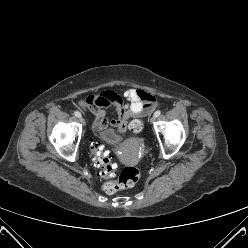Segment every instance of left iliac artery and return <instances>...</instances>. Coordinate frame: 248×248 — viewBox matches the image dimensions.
Masks as SVG:
<instances>
[{
	"instance_id": "left-iliac-artery-1",
	"label": "left iliac artery",
	"mask_w": 248,
	"mask_h": 248,
	"mask_svg": "<svg viewBox=\"0 0 248 248\" xmlns=\"http://www.w3.org/2000/svg\"><path fill=\"white\" fill-rule=\"evenodd\" d=\"M160 114H161V111H160V110H157V111L154 113V116H155V117H158Z\"/></svg>"
}]
</instances>
